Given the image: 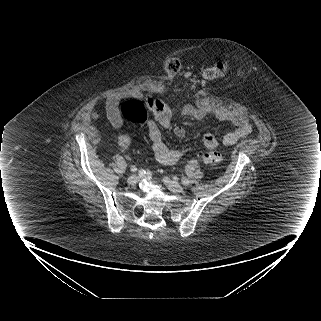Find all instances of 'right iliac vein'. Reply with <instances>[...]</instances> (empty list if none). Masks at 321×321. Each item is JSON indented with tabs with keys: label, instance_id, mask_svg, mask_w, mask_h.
<instances>
[{
	"label": "right iliac vein",
	"instance_id": "obj_1",
	"mask_svg": "<svg viewBox=\"0 0 321 321\" xmlns=\"http://www.w3.org/2000/svg\"><path fill=\"white\" fill-rule=\"evenodd\" d=\"M127 182L129 185L134 186L138 182V177L136 175H131Z\"/></svg>",
	"mask_w": 321,
	"mask_h": 321
}]
</instances>
